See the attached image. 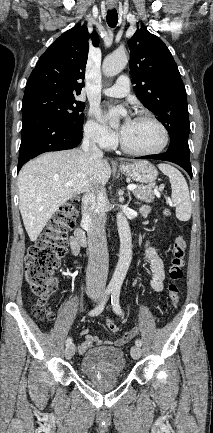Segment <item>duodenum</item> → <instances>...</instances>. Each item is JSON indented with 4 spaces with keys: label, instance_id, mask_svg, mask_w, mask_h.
<instances>
[{
    "label": "duodenum",
    "instance_id": "410a0bca",
    "mask_svg": "<svg viewBox=\"0 0 213 433\" xmlns=\"http://www.w3.org/2000/svg\"><path fill=\"white\" fill-rule=\"evenodd\" d=\"M74 239L80 246L87 245V238L85 231L81 227H77L74 231Z\"/></svg>",
    "mask_w": 213,
    "mask_h": 433
}]
</instances>
